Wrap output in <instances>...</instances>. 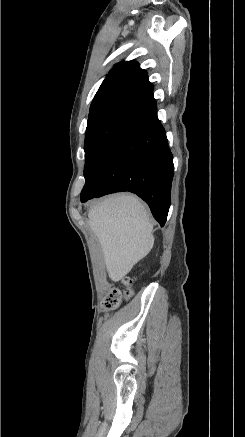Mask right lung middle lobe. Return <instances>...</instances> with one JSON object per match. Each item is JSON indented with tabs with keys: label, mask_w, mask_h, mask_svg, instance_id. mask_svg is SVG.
Here are the masks:
<instances>
[{
	"label": "right lung middle lobe",
	"mask_w": 245,
	"mask_h": 437,
	"mask_svg": "<svg viewBox=\"0 0 245 437\" xmlns=\"http://www.w3.org/2000/svg\"><path fill=\"white\" fill-rule=\"evenodd\" d=\"M142 114L143 111L125 104H107L90 110L84 142L85 180L118 136Z\"/></svg>",
	"instance_id": "1"
}]
</instances>
